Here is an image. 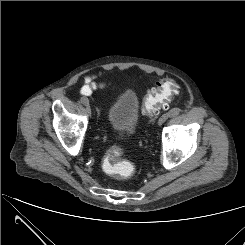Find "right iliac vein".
Returning a JSON list of instances; mask_svg holds the SVG:
<instances>
[{
    "mask_svg": "<svg viewBox=\"0 0 245 245\" xmlns=\"http://www.w3.org/2000/svg\"><path fill=\"white\" fill-rule=\"evenodd\" d=\"M81 102H82V104H84L87 107L88 110L90 109V107H89V101H88L87 98L83 97L81 99Z\"/></svg>",
    "mask_w": 245,
    "mask_h": 245,
    "instance_id": "63e3f726",
    "label": "right iliac vein"
}]
</instances>
